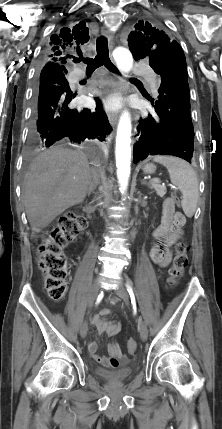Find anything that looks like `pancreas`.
<instances>
[{
	"instance_id": "1",
	"label": "pancreas",
	"mask_w": 222,
	"mask_h": 429,
	"mask_svg": "<svg viewBox=\"0 0 222 429\" xmlns=\"http://www.w3.org/2000/svg\"><path fill=\"white\" fill-rule=\"evenodd\" d=\"M150 187L153 188L156 191L157 195L160 197H164L167 192L166 187L160 185L159 183L151 182Z\"/></svg>"
}]
</instances>
